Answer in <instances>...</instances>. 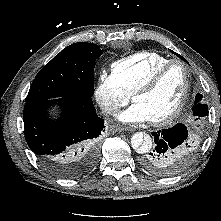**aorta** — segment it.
I'll return each mask as SVG.
<instances>
[{
    "label": "aorta",
    "instance_id": "1",
    "mask_svg": "<svg viewBox=\"0 0 221 221\" xmlns=\"http://www.w3.org/2000/svg\"><path fill=\"white\" fill-rule=\"evenodd\" d=\"M131 146L140 154L147 153L152 148V138L143 132H136L131 137Z\"/></svg>",
    "mask_w": 221,
    "mask_h": 221
}]
</instances>
